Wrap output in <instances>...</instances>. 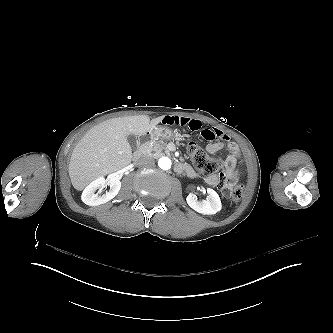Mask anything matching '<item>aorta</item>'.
Listing matches in <instances>:
<instances>
[{
	"label": "aorta",
	"instance_id": "762f6f07",
	"mask_svg": "<svg viewBox=\"0 0 333 333\" xmlns=\"http://www.w3.org/2000/svg\"><path fill=\"white\" fill-rule=\"evenodd\" d=\"M171 160L168 157H162L158 161V165L163 170H168L171 168Z\"/></svg>",
	"mask_w": 333,
	"mask_h": 333
}]
</instances>
